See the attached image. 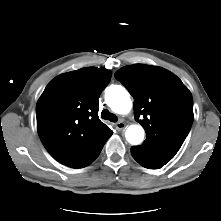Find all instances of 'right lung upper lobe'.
Masks as SVG:
<instances>
[{
    "instance_id": "cb5924a9",
    "label": "right lung upper lobe",
    "mask_w": 221,
    "mask_h": 221,
    "mask_svg": "<svg viewBox=\"0 0 221 221\" xmlns=\"http://www.w3.org/2000/svg\"><path fill=\"white\" fill-rule=\"evenodd\" d=\"M111 75L86 67L57 76L45 88L36 106L37 131L58 162L76 160L111 131L98 117V99Z\"/></svg>"
}]
</instances>
